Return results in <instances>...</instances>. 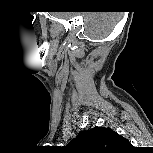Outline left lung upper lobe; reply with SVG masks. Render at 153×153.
<instances>
[{
	"mask_svg": "<svg viewBox=\"0 0 153 153\" xmlns=\"http://www.w3.org/2000/svg\"><path fill=\"white\" fill-rule=\"evenodd\" d=\"M130 146L127 139L110 128L95 127L82 131L68 147L79 153H113Z\"/></svg>",
	"mask_w": 153,
	"mask_h": 153,
	"instance_id": "obj_1",
	"label": "left lung upper lobe"
}]
</instances>
